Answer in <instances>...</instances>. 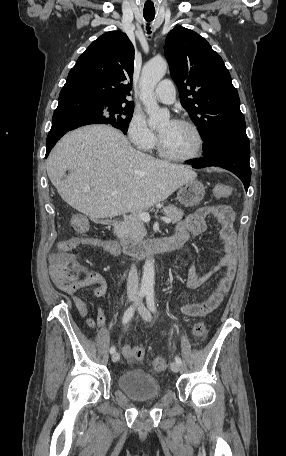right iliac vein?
<instances>
[{"mask_svg":"<svg viewBox=\"0 0 286 456\" xmlns=\"http://www.w3.org/2000/svg\"><path fill=\"white\" fill-rule=\"evenodd\" d=\"M128 301H129V302H134V301H135V297H134V296H129V297H128ZM119 359H120V354H119L118 352H115V353L112 355V361H113V362H117Z\"/></svg>","mask_w":286,"mask_h":456,"instance_id":"1","label":"right iliac vein"}]
</instances>
